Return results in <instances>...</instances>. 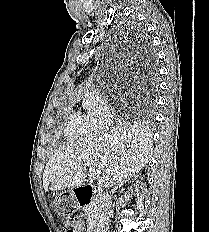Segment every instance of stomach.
<instances>
[{
  "mask_svg": "<svg viewBox=\"0 0 209 232\" xmlns=\"http://www.w3.org/2000/svg\"><path fill=\"white\" fill-rule=\"evenodd\" d=\"M55 203L60 218H64V221H79L75 209V206H78L75 194H56Z\"/></svg>",
  "mask_w": 209,
  "mask_h": 232,
  "instance_id": "0dacf381",
  "label": "stomach"
}]
</instances>
